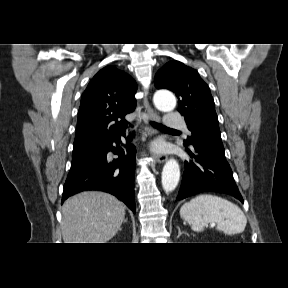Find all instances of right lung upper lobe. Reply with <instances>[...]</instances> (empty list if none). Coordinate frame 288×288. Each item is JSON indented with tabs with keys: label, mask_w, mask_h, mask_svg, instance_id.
<instances>
[{
	"label": "right lung upper lobe",
	"mask_w": 288,
	"mask_h": 288,
	"mask_svg": "<svg viewBox=\"0 0 288 288\" xmlns=\"http://www.w3.org/2000/svg\"><path fill=\"white\" fill-rule=\"evenodd\" d=\"M134 79L114 66L101 69L84 91L73 152L85 154L125 132V115L136 107Z\"/></svg>",
	"instance_id": "right-lung-upper-lobe-1"
}]
</instances>
